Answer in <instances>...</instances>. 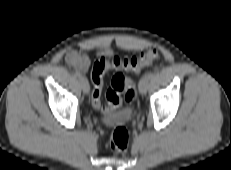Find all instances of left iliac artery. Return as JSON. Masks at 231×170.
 Listing matches in <instances>:
<instances>
[{
    "label": "left iliac artery",
    "mask_w": 231,
    "mask_h": 170,
    "mask_svg": "<svg viewBox=\"0 0 231 170\" xmlns=\"http://www.w3.org/2000/svg\"><path fill=\"white\" fill-rule=\"evenodd\" d=\"M146 76H147L149 79H151V78L154 77V72L150 71V72H148V73L146 74Z\"/></svg>",
    "instance_id": "1"
}]
</instances>
